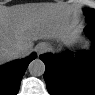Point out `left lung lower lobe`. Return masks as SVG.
<instances>
[{
	"label": "left lung lower lobe",
	"mask_w": 95,
	"mask_h": 95,
	"mask_svg": "<svg viewBox=\"0 0 95 95\" xmlns=\"http://www.w3.org/2000/svg\"><path fill=\"white\" fill-rule=\"evenodd\" d=\"M85 32L95 42V20H87ZM46 66L44 79L51 95H95V48L78 56L39 57Z\"/></svg>",
	"instance_id": "0a47b994"
}]
</instances>
